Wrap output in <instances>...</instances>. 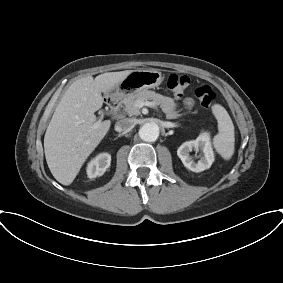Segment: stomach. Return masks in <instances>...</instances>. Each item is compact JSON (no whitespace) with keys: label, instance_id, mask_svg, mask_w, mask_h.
<instances>
[{"label":"stomach","instance_id":"1","mask_svg":"<svg viewBox=\"0 0 283 283\" xmlns=\"http://www.w3.org/2000/svg\"><path fill=\"white\" fill-rule=\"evenodd\" d=\"M163 80L161 72L150 70H134L113 89L114 93L124 96L126 93H137L142 90L158 87Z\"/></svg>","mask_w":283,"mask_h":283}]
</instances>
